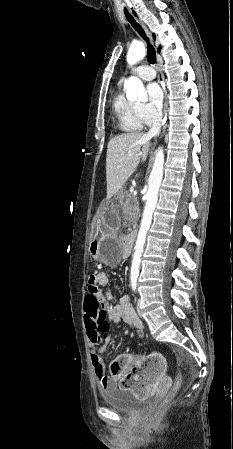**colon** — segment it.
Instances as JSON below:
<instances>
[{
    "instance_id": "colon-1",
    "label": "colon",
    "mask_w": 233,
    "mask_h": 449,
    "mask_svg": "<svg viewBox=\"0 0 233 449\" xmlns=\"http://www.w3.org/2000/svg\"><path fill=\"white\" fill-rule=\"evenodd\" d=\"M99 296H90L89 292H87L86 297H82L81 304L84 308V314L82 316L83 323H86L87 328H98L100 332H105L108 329V320H107V311L100 306V301H98ZM129 376L133 374L135 368L131 365H128ZM129 377L123 379L121 381L122 388H130ZM182 379L179 375L176 378V381L171 387L168 397L165 401L160 405L158 412H161L170 402V400L174 397V395L178 392L181 387Z\"/></svg>"
}]
</instances>
